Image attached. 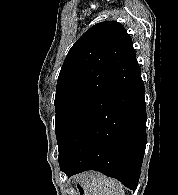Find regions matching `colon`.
Returning a JSON list of instances; mask_svg holds the SVG:
<instances>
[{
    "label": "colon",
    "instance_id": "colon-1",
    "mask_svg": "<svg viewBox=\"0 0 178 195\" xmlns=\"http://www.w3.org/2000/svg\"><path fill=\"white\" fill-rule=\"evenodd\" d=\"M79 190H80V194H81V195H88V194H86V193L83 192L82 187H79Z\"/></svg>",
    "mask_w": 178,
    "mask_h": 195
}]
</instances>
